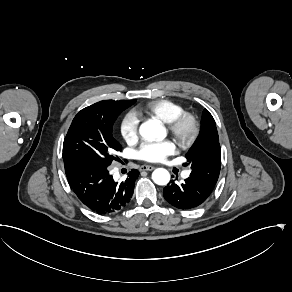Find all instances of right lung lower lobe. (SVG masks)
<instances>
[{"label":"right lung lower lobe","mask_w":292,"mask_h":292,"mask_svg":"<svg viewBox=\"0 0 292 292\" xmlns=\"http://www.w3.org/2000/svg\"><path fill=\"white\" fill-rule=\"evenodd\" d=\"M68 182L79 198L93 212L112 214L125 208L132 197L139 171L132 169L125 181L118 183L109 174L108 167L87 162H67Z\"/></svg>","instance_id":"98d812e1"}]
</instances>
